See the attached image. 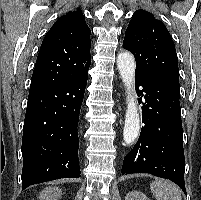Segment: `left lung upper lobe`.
I'll return each instance as SVG.
<instances>
[{
  "instance_id": "left-lung-upper-lobe-1",
  "label": "left lung upper lobe",
  "mask_w": 201,
  "mask_h": 200,
  "mask_svg": "<svg viewBox=\"0 0 201 200\" xmlns=\"http://www.w3.org/2000/svg\"><path fill=\"white\" fill-rule=\"evenodd\" d=\"M123 47L136 60L135 74L179 77L175 45L165 25L144 10H137L126 29Z\"/></svg>"
}]
</instances>
